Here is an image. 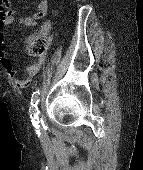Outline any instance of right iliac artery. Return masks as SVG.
I'll return each mask as SVG.
<instances>
[{"instance_id":"right-iliac-artery-1","label":"right iliac artery","mask_w":143,"mask_h":170,"mask_svg":"<svg viewBox=\"0 0 143 170\" xmlns=\"http://www.w3.org/2000/svg\"><path fill=\"white\" fill-rule=\"evenodd\" d=\"M39 96H40V90H36L33 94H32V98H31V106L29 109V113H30V117L32 118V123L34 125V127L38 128V114H39V110L37 108V104L39 102Z\"/></svg>"}]
</instances>
